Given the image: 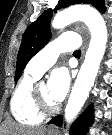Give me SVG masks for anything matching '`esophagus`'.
Segmentation results:
<instances>
[{"mask_svg": "<svg viewBox=\"0 0 112 135\" xmlns=\"http://www.w3.org/2000/svg\"><path fill=\"white\" fill-rule=\"evenodd\" d=\"M84 32L87 34V31L86 30H84ZM87 48V43H85V46H84V48H83V53L85 52V49ZM50 129H52V130H56V128L55 127H51Z\"/></svg>", "mask_w": 112, "mask_h": 135, "instance_id": "34e87169", "label": "esophagus"}]
</instances>
